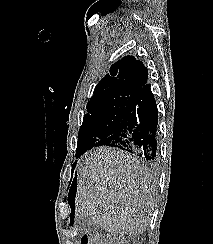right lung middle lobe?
<instances>
[{"instance_id": "dd1d6c3e", "label": "right lung middle lobe", "mask_w": 213, "mask_h": 244, "mask_svg": "<svg viewBox=\"0 0 213 244\" xmlns=\"http://www.w3.org/2000/svg\"><path fill=\"white\" fill-rule=\"evenodd\" d=\"M136 96L114 95L90 101L88 113L78 134L76 157L91 149L98 141L112 135L128 115Z\"/></svg>"}]
</instances>
